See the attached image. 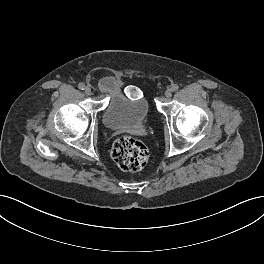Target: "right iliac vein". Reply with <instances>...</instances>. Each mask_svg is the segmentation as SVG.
<instances>
[{
  "label": "right iliac vein",
  "instance_id": "63e3f726",
  "mask_svg": "<svg viewBox=\"0 0 264 264\" xmlns=\"http://www.w3.org/2000/svg\"><path fill=\"white\" fill-rule=\"evenodd\" d=\"M84 92L86 95H90L92 93L91 87H89V86L85 87Z\"/></svg>",
  "mask_w": 264,
  "mask_h": 264
}]
</instances>
